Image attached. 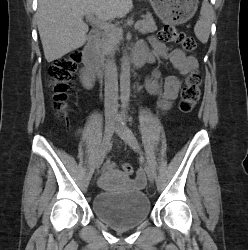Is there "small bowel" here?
I'll return each instance as SVG.
<instances>
[{
	"label": "small bowel",
	"instance_id": "c3829d8e",
	"mask_svg": "<svg viewBox=\"0 0 248 250\" xmlns=\"http://www.w3.org/2000/svg\"><path fill=\"white\" fill-rule=\"evenodd\" d=\"M151 48L141 46L139 51L146 54L148 62L155 63L162 60H169L174 68L183 76L198 70V62L192 56L187 55L181 49H173L169 51L164 44L157 37L150 39ZM158 71H155L148 81V87L151 91L158 94V107L162 112L168 111L177 98L181 86V79L177 76H169L166 78L164 87L158 90ZM111 167L107 171H111Z\"/></svg>",
	"mask_w": 248,
	"mask_h": 250
}]
</instances>
